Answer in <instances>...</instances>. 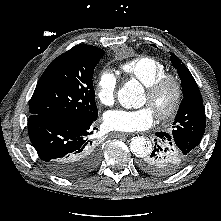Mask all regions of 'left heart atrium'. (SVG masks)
<instances>
[{"mask_svg": "<svg viewBox=\"0 0 221 221\" xmlns=\"http://www.w3.org/2000/svg\"><path fill=\"white\" fill-rule=\"evenodd\" d=\"M103 121L109 130L134 132L149 128L154 121V112L149 106L135 110L114 109L105 112Z\"/></svg>", "mask_w": 221, "mask_h": 221, "instance_id": "left-heart-atrium-1", "label": "left heart atrium"}]
</instances>
